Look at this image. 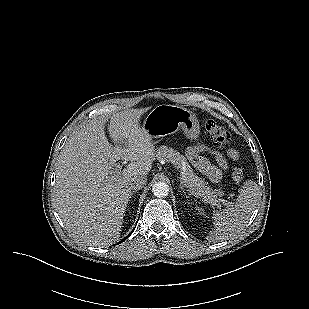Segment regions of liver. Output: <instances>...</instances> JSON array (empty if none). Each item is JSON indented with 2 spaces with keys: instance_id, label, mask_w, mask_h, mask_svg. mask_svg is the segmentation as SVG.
Instances as JSON below:
<instances>
[{
  "instance_id": "obj_1",
  "label": "liver",
  "mask_w": 309,
  "mask_h": 309,
  "mask_svg": "<svg viewBox=\"0 0 309 309\" xmlns=\"http://www.w3.org/2000/svg\"><path fill=\"white\" fill-rule=\"evenodd\" d=\"M146 109L117 113L110 119V144L104 121L92 120L69 137L56 167L54 203L72 236L105 247L120 237L132 195L128 180L147 175L155 160L151 137L139 127ZM118 160L131 161L116 173Z\"/></svg>"
}]
</instances>
